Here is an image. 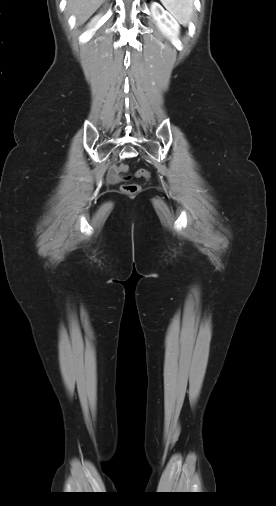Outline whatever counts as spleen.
Listing matches in <instances>:
<instances>
[{
  "label": "spleen",
  "mask_w": 276,
  "mask_h": 506,
  "mask_svg": "<svg viewBox=\"0 0 276 506\" xmlns=\"http://www.w3.org/2000/svg\"><path fill=\"white\" fill-rule=\"evenodd\" d=\"M164 7L182 25L186 26L193 14V0H160Z\"/></svg>",
  "instance_id": "1"
}]
</instances>
